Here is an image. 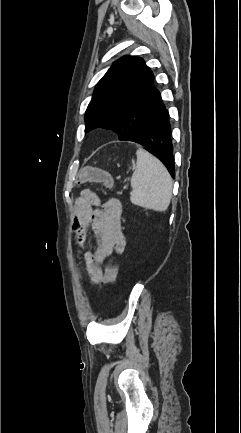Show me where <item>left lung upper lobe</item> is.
<instances>
[{
	"instance_id": "obj_1",
	"label": "left lung upper lobe",
	"mask_w": 241,
	"mask_h": 433,
	"mask_svg": "<svg viewBox=\"0 0 241 433\" xmlns=\"http://www.w3.org/2000/svg\"><path fill=\"white\" fill-rule=\"evenodd\" d=\"M162 106L150 68L142 58L125 56L96 85L85 113V132L104 127L126 140L143 129Z\"/></svg>"
}]
</instances>
